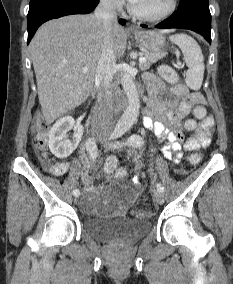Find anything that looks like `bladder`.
I'll return each mask as SVG.
<instances>
[{
  "label": "bladder",
  "mask_w": 233,
  "mask_h": 284,
  "mask_svg": "<svg viewBox=\"0 0 233 284\" xmlns=\"http://www.w3.org/2000/svg\"><path fill=\"white\" fill-rule=\"evenodd\" d=\"M97 194L101 202L121 205L131 203L137 196V188L128 181H114ZM93 204L95 201L88 196ZM148 219H131L123 216L86 217L82 222L83 230L91 237L101 241H135L145 236L151 229Z\"/></svg>",
  "instance_id": "bladder-1"
}]
</instances>
